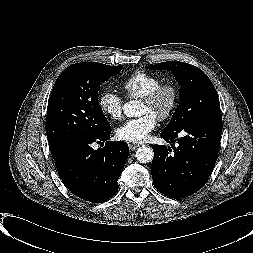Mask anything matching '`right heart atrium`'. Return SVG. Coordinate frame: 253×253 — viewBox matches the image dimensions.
Wrapping results in <instances>:
<instances>
[{"instance_id":"obj_1","label":"right heart atrium","mask_w":253,"mask_h":253,"mask_svg":"<svg viewBox=\"0 0 253 253\" xmlns=\"http://www.w3.org/2000/svg\"><path fill=\"white\" fill-rule=\"evenodd\" d=\"M100 110L110 119L119 120L123 113L122 97L111 89L104 90L98 98Z\"/></svg>"}]
</instances>
